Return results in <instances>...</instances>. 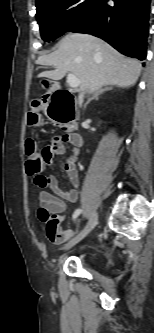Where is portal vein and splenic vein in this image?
Instances as JSON below:
<instances>
[{
	"label": "portal vein and splenic vein",
	"instance_id": "1",
	"mask_svg": "<svg viewBox=\"0 0 154 333\" xmlns=\"http://www.w3.org/2000/svg\"><path fill=\"white\" fill-rule=\"evenodd\" d=\"M67 82L70 87L77 88L80 85V80L73 74L69 73L67 75Z\"/></svg>",
	"mask_w": 154,
	"mask_h": 333
}]
</instances>
